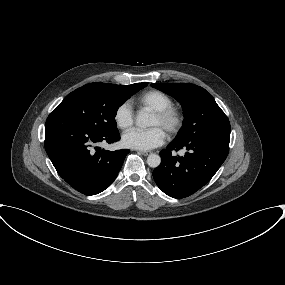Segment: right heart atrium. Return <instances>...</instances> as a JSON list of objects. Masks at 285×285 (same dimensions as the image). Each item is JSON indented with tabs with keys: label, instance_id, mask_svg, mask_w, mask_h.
Segmentation results:
<instances>
[{
	"label": "right heart atrium",
	"instance_id": "right-heart-atrium-1",
	"mask_svg": "<svg viewBox=\"0 0 285 285\" xmlns=\"http://www.w3.org/2000/svg\"><path fill=\"white\" fill-rule=\"evenodd\" d=\"M114 121L120 129H128L134 123V110L129 102L121 103L114 112Z\"/></svg>",
	"mask_w": 285,
	"mask_h": 285
}]
</instances>
